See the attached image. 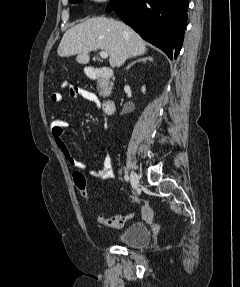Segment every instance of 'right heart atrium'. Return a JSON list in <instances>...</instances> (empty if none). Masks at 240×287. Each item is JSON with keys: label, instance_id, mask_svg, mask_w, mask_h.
<instances>
[{"label": "right heart atrium", "instance_id": "right-heart-atrium-1", "mask_svg": "<svg viewBox=\"0 0 240 287\" xmlns=\"http://www.w3.org/2000/svg\"><path fill=\"white\" fill-rule=\"evenodd\" d=\"M95 2H102V1H106V0H93Z\"/></svg>", "mask_w": 240, "mask_h": 287}]
</instances>
